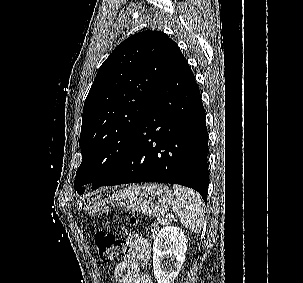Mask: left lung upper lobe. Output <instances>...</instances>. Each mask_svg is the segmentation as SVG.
Masks as SVG:
<instances>
[{"instance_id": "left-lung-upper-lobe-1", "label": "left lung upper lobe", "mask_w": 303, "mask_h": 283, "mask_svg": "<svg viewBox=\"0 0 303 283\" xmlns=\"http://www.w3.org/2000/svg\"><path fill=\"white\" fill-rule=\"evenodd\" d=\"M181 53L161 31L136 33L119 44L98 70L86 97L80 134L82 163L74 188L96 189L120 168L167 71Z\"/></svg>"}]
</instances>
